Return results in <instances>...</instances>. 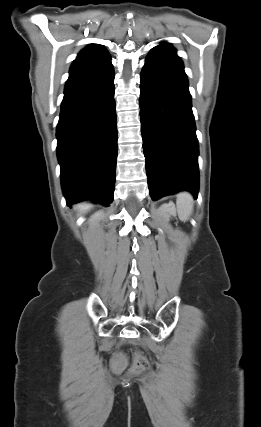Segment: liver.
Masks as SVG:
<instances>
[{
  "label": "liver",
  "mask_w": 261,
  "mask_h": 427,
  "mask_svg": "<svg viewBox=\"0 0 261 427\" xmlns=\"http://www.w3.org/2000/svg\"><path fill=\"white\" fill-rule=\"evenodd\" d=\"M92 205L89 203H81L76 206V209L81 213H86L91 209Z\"/></svg>",
  "instance_id": "6515ba94"
}]
</instances>
